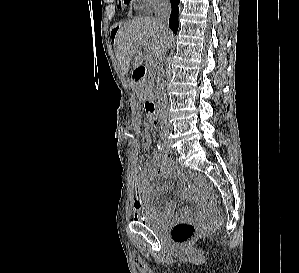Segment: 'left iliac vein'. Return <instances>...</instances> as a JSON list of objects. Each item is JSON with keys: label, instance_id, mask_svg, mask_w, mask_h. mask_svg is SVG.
<instances>
[{"label": "left iliac vein", "instance_id": "4c4485c4", "mask_svg": "<svg viewBox=\"0 0 299 273\" xmlns=\"http://www.w3.org/2000/svg\"><path fill=\"white\" fill-rule=\"evenodd\" d=\"M166 148L168 151H171L169 144H166Z\"/></svg>", "mask_w": 299, "mask_h": 273}]
</instances>
